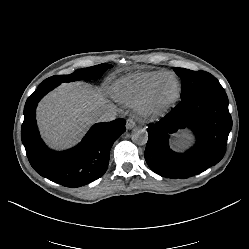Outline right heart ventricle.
Listing matches in <instances>:
<instances>
[{"instance_id":"e07e8e85","label":"right heart ventricle","mask_w":249,"mask_h":249,"mask_svg":"<svg viewBox=\"0 0 249 249\" xmlns=\"http://www.w3.org/2000/svg\"><path fill=\"white\" fill-rule=\"evenodd\" d=\"M170 73L165 69L136 71L118 79L114 86V95L126 104H133L158 77Z\"/></svg>"}]
</instances>
